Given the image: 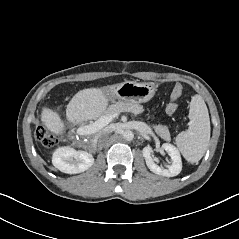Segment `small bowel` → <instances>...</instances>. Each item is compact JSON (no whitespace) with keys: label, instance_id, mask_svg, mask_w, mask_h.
I'll return each instance as SVG.
<instances>
[{"label":"small bowel","instance_id":"1","mask_svg":"<svg viewBox=\"0 0 239 239\" xmlns=\"http://www.w3.org/2000/svg\"><path fill=\"white\" fill-rule=\"evenodd\" d=\"M180 93H181V88L178 86L173 91L174 98L178 97L180 95ZM176 107H177L176 104L174 102H172L168 105L167 111L169 113H173L176 110Z\"/></svg>","mask_w":239,"mask_h":239}]
</instances>
